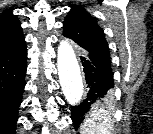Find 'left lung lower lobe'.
I'll return each instance as SVG.
<instances>
[{"label": "left lung lower lobe", "instance_id": "1", "mask_svg": "<svg viewBox=\"0 0 153 134\" xmlns=\"http://www.w3.org/2000/svg\"><path fill=\"white\" fill-rule=\"evenodd\" d=\"M87 83V98L78 105L71 107L74 127L77 128L83 121L84 115L91 106L101 98L109 95L114 86L113 72L110 62L94 55L81 56Z\"/></svg>", "mask_w": 153, "mask_h": 134}]
</instances>
